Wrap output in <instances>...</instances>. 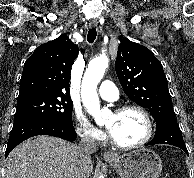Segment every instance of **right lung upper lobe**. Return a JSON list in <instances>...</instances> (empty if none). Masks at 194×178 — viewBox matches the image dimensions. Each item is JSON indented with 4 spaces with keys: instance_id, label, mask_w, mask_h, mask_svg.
<instances>
[{
    "instance_id": "right-lung-upper-lobe-1",
    "label": "right lung upper lobe",
    "mask_w": 194,
    "mask_h": 178,
    "mask_svg": "<svg viewBox=\"0 0 194 178\" xmlns=\"http://www.w3.org/2000/svg\"><path fill=\"white\" fill-rule=\"evenodd\" d=\"M77 56L78 46L67 35L40 45L24 64L18 101L69 96L70 71Z\"/></svg>"
}]
</instances>
